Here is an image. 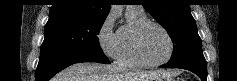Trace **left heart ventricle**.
Instances as JSON below:
<instances>
[{
  "instance_id": "obj_1",
  "label": "left heart ventricle",
  "mask_w": 237,
  "mask_h": 81,
  "mask_svg": "<svg viewBox=\"0 0 237 81\" xmlns=\"http://www.w3.org/2000/svg\"><path fill=\"white\" fill-rule=\"evenodd\" d=\"M141 49L147 61L158 62L167 57L169 53V42L160 29L152 26L143 34Z\"/></svg>"
}]
</instances>
